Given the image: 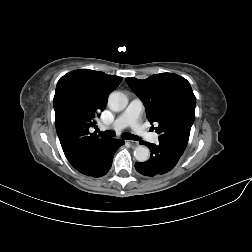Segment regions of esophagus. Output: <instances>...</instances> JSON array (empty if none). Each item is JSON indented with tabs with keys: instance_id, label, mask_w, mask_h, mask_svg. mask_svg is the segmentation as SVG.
Returning a JSON list of instances; mask_svg holds the SVG:
<instances>
[{
	"instance_id": "esophagus-1",
	"label": "esophagus",
	"mask_w": 252,
	"mask_h": 252,
	"mask_svg": "<svg viewBox=\"0 0 252 252\" xmlns=\"http://www.w3.org/2000/svg\"><path fill=\"white\" fill-rule=\"evenodd\" d=\"M127 143H129V145H130L132 148L138 146V142H137V141L128 140Z\"/></svg>"
}]
</instances>
